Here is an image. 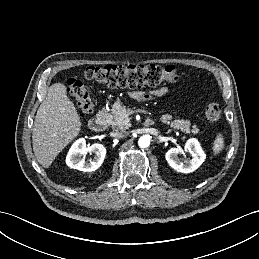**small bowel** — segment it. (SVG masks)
<instances>
[{
    "instance_id": "1",
    "label": "small bowel",
    "mask_w": 259,
    "mask_h": 259,
    "mask_svg": "<svg viewBox=\"0 0 259 259\" xmlns=\"http://www.w3.org/2000/svg\"><path fill=\"white\" fill-rule=\"evenodd\" d=\"M168 89L166 87L159 88L152 93H145V92H133L131 95L133 98L137 100H149L151 99L152 95L154 96H162L167 93Z\"/></svg>"
}]
</instances>
